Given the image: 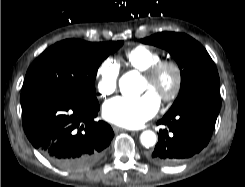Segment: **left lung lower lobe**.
Returning <instances> with one entry per match:
<instances>
[{
	"mask_svg": "<svg viewBox=\"0 0 245 187\" xmlns=\"http://www.w3.org/2000/svg\"><path fill=\"white\" fill-rule=\"evenodd\" d=\"M219 110V95H210L165 114L157 124L169 130H160L159 141L149 159L157 164L173 165L200 152L211 138Z\"/></svg>",
	"mask_w": 245,
	"mask_h": 187,
	"instance_id": "0a47b994",
	"label": "left lung lower lobe"
}]
</instances>
